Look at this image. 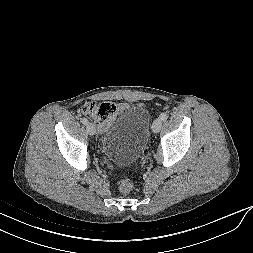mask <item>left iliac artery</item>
Returning a JSON list of instances; mask_svg holds the SVG:
<instances>
[{"instance_id":"1","label":"left iliac artery","mask_w":253,"mask_h":253,"mask_svg":"<svg viewBox=\"0 0 253 253\" xmlns=\"http://www.w3.org/2000/svg\"><path fill=\"white\" fill-rule=\"evenodd\" d=\"M168 118V114L166 113V112H163V113H161V115H160V119L161 120H166Z\"/></svg>"}]
</instances>
